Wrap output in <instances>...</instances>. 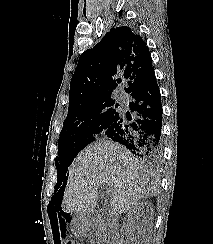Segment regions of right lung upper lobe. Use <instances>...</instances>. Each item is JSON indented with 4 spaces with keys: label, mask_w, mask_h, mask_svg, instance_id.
<instances>
[{
    "label": "right lung upper lobe",
    "mask_w": 213,
    "mask_h": 244,
    "mask_svg": "<svg viewBox=\"0 0 213 244\" xmlns=\"http://www.w3.org/2000/svg\"><path fill=\"white\" fill-rule=\"evenodd\" d=\"M153 70L152 58L142 38L130 27L112 28L103 39L81 54L70 83L69 108L111 96L119 86L118 72L133 92Z\"/></svg>",
    "instance_id": "1"
}]
</instances>
